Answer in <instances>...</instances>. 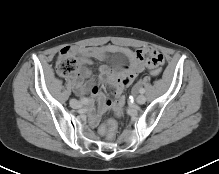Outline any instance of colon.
Returning <instances> with one entry per match:
<instances>
[{
  "instance_id": "5ec220e1",
  "label": "colon",
  "mask_w": 219,
  "mask_h": 174,
  "mask_svg": "<svg viewBox=\"0 0 219 174\" xmlns=\"http://www.w3.org/2000/svg\"><path fill=\"white\" fill-rule=\"evenodd\" d=\"M56 69L61 76L72 77L78 72V61L66 49L62 50L57 58ZM150 73L154 77H159L162 69L153 68ZM99 133L108 140H113L117 133L116 121L109 119L104 122L99 128Z\"/></svg>"
}]
</instances>
